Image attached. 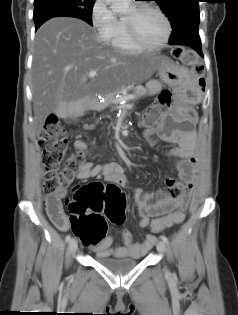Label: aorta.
Here are the masks:
<instances>
[{"instance_id":"762f6f07","label":"aorta","mask_w":238,"mask_h":315,"mask_svg":"<svg viewBox=\"0 0 238 315\" xmlns=\"http://www.w3.org/2000/svg\"><path fill=\"white\" fill-rule=\"evenodd\" d=\"M115 13H127L130 10V0H106Z\"/></svg>"}]
</instances>
